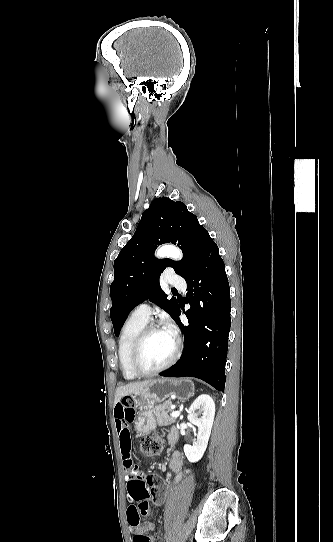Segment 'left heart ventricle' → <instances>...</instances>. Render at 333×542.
Masks as SVG:
<instances>
[{
	"mask_svg": "<svg viewBox=\"0 0 333 542\" xmlns=\"http://www.w3.org/2000/svg\"><path fill=\"white\" fill-rule=\"evenodd\" d=\"M174 350V338L164 329L152 332L146 339L140 356L139 366L143 370H153L165 363Z\"/></svg>",
	"mask_w": 333,
	"mask_h": 542,
	"instance_id": "left-heart-ventricle-1",
	"label": "left heart ventricle"
}]
</instances>
